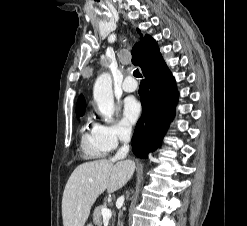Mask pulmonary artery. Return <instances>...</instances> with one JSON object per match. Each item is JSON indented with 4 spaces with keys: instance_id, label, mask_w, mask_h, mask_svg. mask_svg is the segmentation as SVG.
<instances>
[{
    "instance_id": "pulmonary-artery-1",
    "label": "pulmonary artery",
    "mask_w": 247,
    "mask_h": 226,
    "mask_svg": "<svg viewBox=\"0 0 247 226\" xmlns=\"http://www.w3.org/2000/svg\"><path fill=\"white\" fill-rule=\"evenodd\" d=\"M137 87V82L131 77H126L122 84V89L126 93L134 92Z\"/></svg>"
}]
</instances>
